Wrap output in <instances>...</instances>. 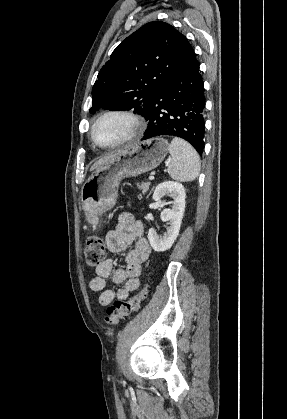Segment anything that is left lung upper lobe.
<instances>
[{
    "mask_svg": "<svg viewBox=\"0 0 287 419\" xmlns=\"http://www.w3.org/2000/svg\"><path fill=\"white\" fill-rule=\"evenodd\" d=\"M196 60L186 37L164 22H150L113 51L92 89L93 107L148 113L157 92Z\"/></svg>",
    "mask_w": 287,
    "mask_h": 419,
    "instance_id": "left-lung-upper-lobe-1",
    "label": "left lung upper lobe"
}]
</instances>
